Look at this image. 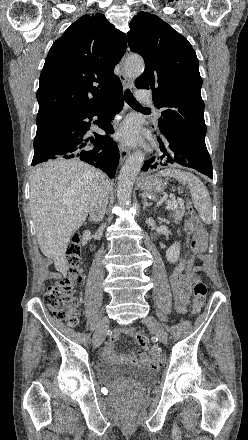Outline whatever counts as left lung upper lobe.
I'll list each match as a JSON object with an SVG mask.
<instances>
[{"label":"left lung upper lobe","instance_id":"left-lung-upper-lobe-1","mask_svg":"<svg viewBox=\"0 0 248 440\" xmlns=\"http://www.w3.org/2000/svg\"><path fill=\"white\" fill-rule=\"evenodd\" d=\"M128 45L145 61L135 80L139 89H152L162 111L159 127L205 140L204 102L198 59L188 40L158 16L139 12L129 24Z\"/></svg>","mask_w":248,"mask_h":440}]
</instances>
